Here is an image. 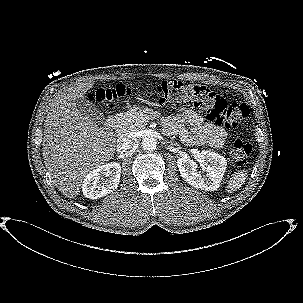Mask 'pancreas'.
Wrapping results in <instances>:
<instances>
[{
	"mask_svg": "<svg viewBox=\"0 0 303 303\" xmlns=\"http://www.w3.org/2000/svg\"><path fill=\"white\" fill-rule=\"evenodd\" d=\"M160 117V114L151 109L141 111H130L121 113L118 117V132L120 134L128 133L133 130H142L145 128L148 120Z\"/></svg>",
	"mask_w": 303,
	"mask_h": 303,
	"instance_id": "1",
	"label": "pancreas"
}]
</instances>
